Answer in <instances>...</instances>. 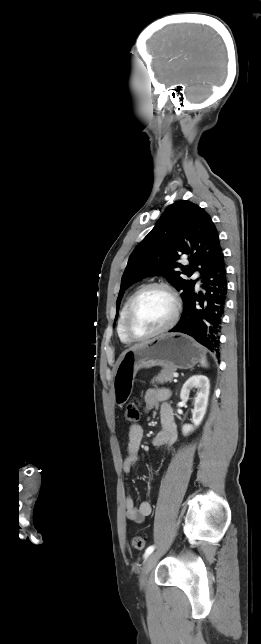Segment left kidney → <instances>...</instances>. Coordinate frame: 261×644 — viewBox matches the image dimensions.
Returning <instances> with one entry per match:
<instances>
[{
    "label": "left kidney",
    "instance_id": "left-kidney-1",
    "mask_svg": "<svg viewBox=\"0 0 261 644\" xmlns=\"http://www.w3.org/2000/svg\"><path fill=\"white\" fill-rule=\"evenodd\" d=\"M193 388H198V392L194 398V409L192 411L193 425L184 424L182 426V432L185 436L201 424L206 414L210 390L209 379L204 375H195L190 377L181 389L180 398L183 401H187L189 399L190 390Z\"/></svg>",
    "mask_w": 261,
    "mask_h": 644
}]
</instances>
